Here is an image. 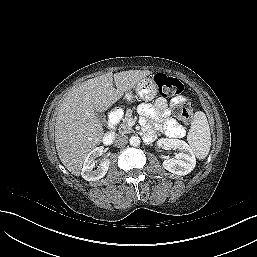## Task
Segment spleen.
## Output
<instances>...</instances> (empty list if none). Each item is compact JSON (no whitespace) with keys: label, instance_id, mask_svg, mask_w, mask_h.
I'll list each match as a JSON object with an SVG mask.
<instances>
[{"label":"spleen","instance_id":"obj_1","mask_svg":"<svg viewBox=\"0 0 257 257\" xmlns=\"http://www.w3.org/2000/svg\"><path fill=\"white\" fill-rule=\"evenodd\" d=\"M189 147L198 159H205L211 147V134L206 115L197 111L187 135Z\"/></svg>","mask_w":257,"mask_h":257}]
</instances>
